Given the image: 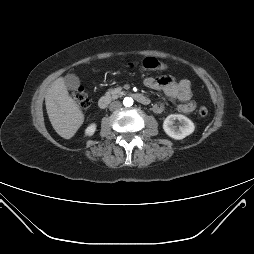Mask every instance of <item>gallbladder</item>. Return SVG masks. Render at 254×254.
<instances>
[{
  "label": "gallbladder",
  "instance_id": "1",
  "mask_svg": "<svg viewBox=\"0 0 254 254\" xmlns=\"http://www.w3.org/2000/svg\"><path fill=\"white\" fill-rule=\"evenodd\" d=\"M64 83L67 89L75 90L78 88L80 81L76 75L68 74L64 77Z\"/></svg>",
  "mask_w": 254,
  "mask_h": 254
}]
</instances>
